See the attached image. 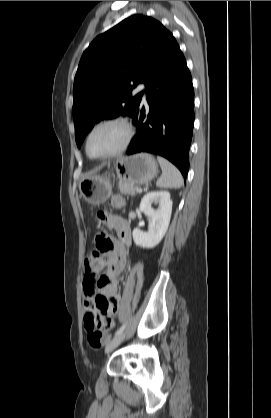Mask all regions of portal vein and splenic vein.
I'll use <instances>...</instances> for the list:
<instances>
[{
    "label": "portal vein and splenic vein",
    "instance_id": "1",
    "mask_svg": "<svg viewBox=\"0 0 271 418\" xmlns=\"http://www.w3.org/2000/svg\"><path fill=\"white\" fill-rule=\"evenodd\" d=\"M138 193H141L142 192V189L141 188H137V190H136Z\"/></svg>",
    "mask_w": 271,
    "mask_h": 418
}]
</instances>
